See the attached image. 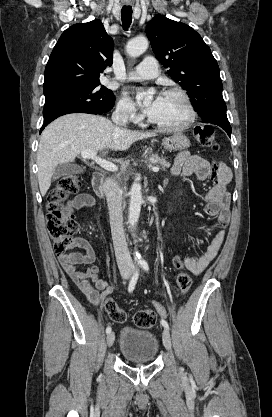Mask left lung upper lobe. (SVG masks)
Wrapping results in <instances>:
<instances>
[{
	"mask_svg": "<svg viewBox=\"0 0 272 417\" xmlns=\"http://www.w3.org/2000/svg\"><path fill=\"white\" fill-rule=\"evenodd\" d=\"M153 52L168 75L188 91L203 122L231 128L222 96L219 66L210 48L190 26L155 16L146 26Z\"/></svg>",
	"mask_w": 272,
	"mask_h": 417,
	"instance_id": "left-lung-upper-lobe-1",
	"label": "left lung upper lobe"
}]
</instances>
